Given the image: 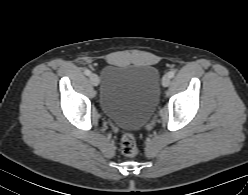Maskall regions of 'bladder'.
I'll return each mask as SVG.
<instances>
[{
  "mask_svg": "<svg viewBox=\"0 0 248 195\" xmlns=\"http://www.w3.org/2000/svg\"><path fill=\"white\" fill-rule=\"evenodd\" d=\"M160 75L151 65H110L101 77L99 101L105 115L121 128L142 127L158 103Z\"/></svg>",
  "mask_w": 248,
  "mask_h": 195,
  "instance_id": "1",
  "label": "bladder"
}]
</instances>
